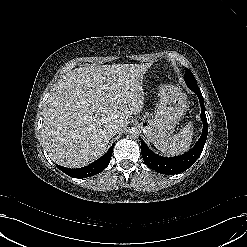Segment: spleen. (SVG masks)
<instances>
[{
	"mask_svg": "<svg viewBox=\"0 0 247 247\" xmlns=\"http://www.w3.org/2000/svg\"><path fill=\"white\" fill-rule=\"evenodd\" d=\"M193 124L189 122L179 133L166 140L155 142V147L165 155H179L190 148Z\"/></svg>",
	"mask_w": 247,
	"mask_h": 247,
	"instance_id": "obj_1",
	"label": "spleen"
}]
</instances>
